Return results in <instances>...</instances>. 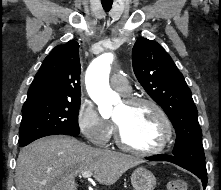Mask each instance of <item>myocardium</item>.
Returning <instances> with one entry per match:
<instances>
[{
  "label": "myocardium",
  "instance_id": "1",
  "mask_svg": "<svg viewBox=\"0 0 221 190\" xmlns=\"http://www.w3.org/2000/svg\"><path fill=\"white\" fill-rule=\"evenodd\" d=\"M124 102L128 106L144 104L152 107L156 111L162 122L163 132L161 139L157 145L149 148H139L129 144L125 140L119 124L114 120L113 122L115 127L117 144L124 150L142 155L157 154L165 150L170 144L173 136V126L165 110L157 102L146 97H128L124 100Z\"/></svg>",
  "mask_w": 221,
  "mask_h": 190
}]
</instances>
